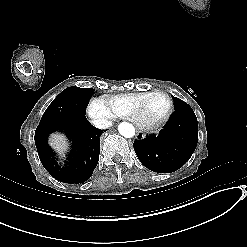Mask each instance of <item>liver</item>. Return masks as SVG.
<instances>
[{"instance_id": "liver-1", "label": "liver", "mask_w": 247, "mask_h": 247, "mask_svg": "<svg viewBox=\"0 0 247 247\" xmlns=\"http://www.w3.org/2000/svg\"><path fill=\"white\" fill-rule=\"evenodd\" d=\"M48 144L58 154L60 159L65 158V154L69 149V142L65 134L60 132L51 133L48 138Z\"/></svg>"}]
</instances>
